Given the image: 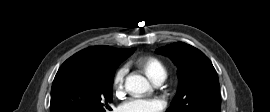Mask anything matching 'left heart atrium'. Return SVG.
<instances>
[{"label":"left heart atrium","mask_w":270,"mask_h":112,"mask_svg":"<svg viewBox=\"0 0 270 112\" xmlns=\"http://www.w3.org/2000/svg\"><path fill=\"white\" fill-rule=\"evenodd\" d=\"M164 106L160 98H131L120 106L119 112H160Z\"/></svg>","instance_id":"1"}]
</instances>
